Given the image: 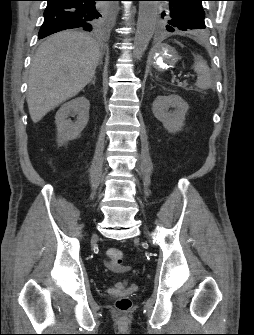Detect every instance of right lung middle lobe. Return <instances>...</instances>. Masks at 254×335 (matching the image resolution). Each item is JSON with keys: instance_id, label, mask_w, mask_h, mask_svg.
Instances as JSON below:
<instances>
[{"instance_id": "dd1d6c3e", "label": "right lung middle lobe", "mask_w": 254, "mask_h": 335, "mask_svg": "<svg viewBox=\"0 0 254 335\" xmlns=\"http://www.w3.org/2000/svg\"><path fill=\"white\" fill-rule=\"evenodd\" d=\"M99 11H98V13L96 14V24H95V26L96 25H98L101 21H102V19H104L105 18V10L104 9H98ZM94 26V27H95Z\"/></svg>"}]
</instances>
